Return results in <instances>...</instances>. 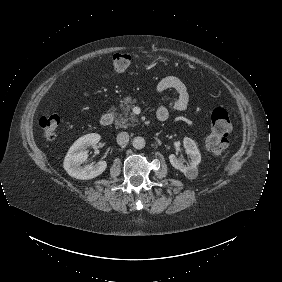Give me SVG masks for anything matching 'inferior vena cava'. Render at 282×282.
Returning a JSON list of instances; mask_svg holds the SVG:
<instances>
[{"label": "inferior vena cava", "mask_w": 282, "mask_h": 282, "mask_svg": "<svg viewBox=\"0 0 282 282\" xmlns=\"http://www.w3.org/2000/svg\"><path fill=\"white\" fill-rule=\"evenodd\" d=\"M129 142V134L127 132H120L117 135V143L121 146L127 145Z\"/></svg>", "instance_id": "inferior-vena-cava-1"}]
</instances>
